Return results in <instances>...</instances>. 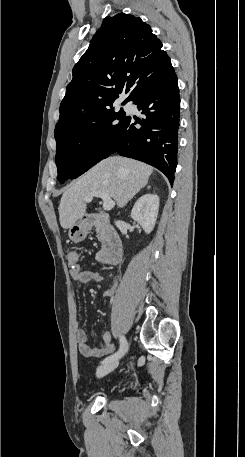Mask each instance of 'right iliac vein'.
<instances>
[{
  "label": "right iliac vein",
  "instance_id": "right-iliac-vein-1",
  "mask_svg": "<svg viewBox=\"0 0 245 457\" xmlns=\"http://www.w3.org/2000/svg\"><path fill=\"white\" fill-rule=\"evenodd\" d=\"M117 366H118L117 361H109V362H106V363L100 365L96 370L97 377L101 378V377L109 374Z\"/></svg>",
  "mask_w": 245,
  "mask_h": 457
}]
</instances>
